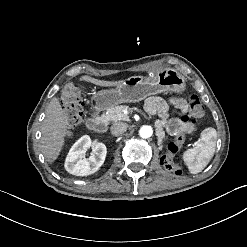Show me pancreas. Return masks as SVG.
Listing matches in <instances>:
<instances>
[{
  "mask_svg": "<svg viewBox=\"0 0 247 247\" xmlns=\"http://www.w3.org/2000/svg\"><path fill=\"white\" fill-rule=\"evenodd\" d=\"M122 106H115L107 109L104 117L109 121L117 122V121H127L129 120V116L125 114L122 110ZM156 136H158V144H161L162 138L164 137V132L162 131V126L164 125V121H156Z\"/></svg>",
  "mask_w": 247,
  "mask_h": 247,
  "instance_id": "1",
  "label": "pancreas"
}]
</instances>
